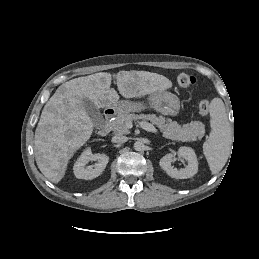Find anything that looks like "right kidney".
<instances>
[{"mask_svg": "<svg viewBox=\"0 0 259 259\" xmlns=\"http://www.w3.org/2000/svg\"><path fill=\"white\" fill-rule=\"evenodd\" d=\"M90 161H97L93 166H87ZM109 157L105 154H92L91 149L84 150L79 159L74 164V175L78 179L91 180L102 174Z\"/></svg>", "mask_w": 259, "mask_h": 259, "instance_id": "ca27d5eb", "label": "right kidney"}]
</instances>
